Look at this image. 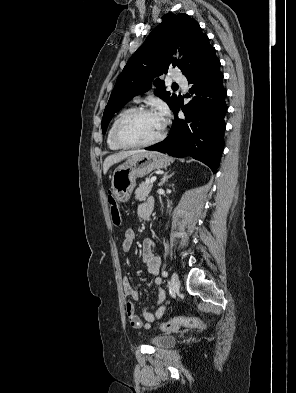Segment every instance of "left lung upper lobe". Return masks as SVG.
<instances>
[{"label":"left lung upper lobe","mask_w":296,"mask_h":393,"mask_svg":"<svg viewBox=\"0 0 296 393\" xmlns=\"http://www.w3.org/2000/svg\"><path fill=\"white\" fill-rule=\"evenodd\" d=\"M213 50L196 20H192L187 14L164 15L162 23L148 35L118 76L104 110L103 133L114 113L132 97L146 92L156 76L167 73L171 66H178L188 78ZM176 51L184 54L187 61L172 59L170 54ZM154 85L159 87L155 90L156 95L164 99L173 111L178 104L177 95L165 91L164 82L160 79H156Z\"/></svg>","instance_id":"1"}]
</instances>
